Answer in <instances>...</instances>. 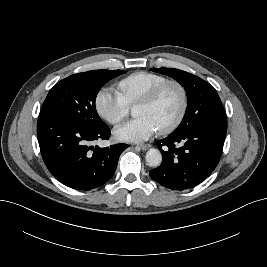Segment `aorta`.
Masks as SVG:
<instances>
[{"label":"aorta","mask_w":267,"mask_h":267,"mask_svg":"<svg viewBox=\"0 0 267 267\" xmlns=\"http://www.w3.org/2000/svg\"><path fill=\"white\" fill-rule=\"evenodd\" d=\"M146 163L150 167H158L162 162V154L158 149L151 148L146 153Z\"/></svg>","instance_id":"1"}]
</instances>
